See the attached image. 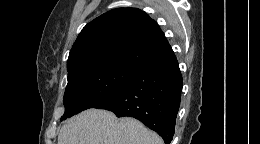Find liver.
<instances>
[{
  "label": "liver",
  "instance_id": "6515ba94",
  "mask_svg": "<svg viewBox=\"0 0 260 144\" xmlns=\"http://www.w3.org/2000/svg\"><path fill=\"white\" fill-rule=\"evenodd\" d=\"M58 144H163V140L136 119L88 109L62 126Z\"/></svg>",
  "mask_w": 260,
  "mask_h": 144
}]
</instances>
